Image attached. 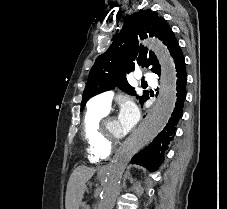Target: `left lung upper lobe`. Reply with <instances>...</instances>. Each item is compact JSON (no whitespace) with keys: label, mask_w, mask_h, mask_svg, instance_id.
Here are the masks:
<instances>
[{"label":"left lung upper lobe","mask_w":227,"mask_h":209,"mask_svg":"<svg viewBox=\"0 0 227 209\" xmlns=\"http://www.w3.org/2000/svg\"><path fill=\"white\" fill-rule=\"evenodd\" d=\"M148 36H155L163 41L171 56L175 58L180 47L163 17L152 10H142L127 16L121 32L114 37L110 47L97 57L90 70L81 111L91 97L116 86L130 95H135L134 88L126 79V75L133 71L135 66L150 67L152 72L160 75V64L155 54L146 47L138 46V39ZM137 98L143 104L149 99V94L144 93Z\"/></svg>","instance_id":"5c2ea615"}]
</instances>
